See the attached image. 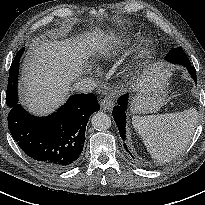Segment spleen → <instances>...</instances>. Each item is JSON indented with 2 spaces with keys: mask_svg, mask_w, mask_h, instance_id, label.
<instances>
[{
  "mask_svg": "<svg viewBox=\"0 0 205 205\" xmlns=\"http://www.w3.org/2000/svg\"><path fill=\"white\" fill-rule=\"evenodd\" d=\"M197 114V110L191 108L171 114L133 116L132 124L151 157L166 163L188 146L197 124Z\"/></svg>",
  "mask_w": 205,
  "mask_h": 205,
  "instance_id": "obj_1",
  "label": "spleen"
}]
</instances>
